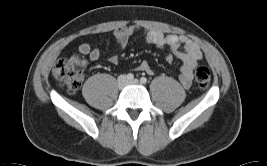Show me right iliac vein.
<instances>
[{
    "label": "right iliac vein",
    "mask_w": 267,
    "mask_h": 166,
    "mask_svg": "<svg viewBox=\"0 0 267 166\" xmlns=\"http://www.w3.org/2000/svg\"><path fill=\"white\" fill-rule=\"evenodd\" d=\"M127 83V78L125 75H121L118 77V87L122 89Z\"/></svg>",
    "instance_id": "63e3f726"
}]
</instances>
